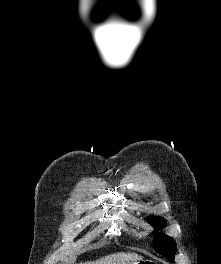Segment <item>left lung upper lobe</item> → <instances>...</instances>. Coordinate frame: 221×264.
I'll list each match as a JSON object with an SVG mask.
<instances>
[{
  "instance_id": "left-lung-upper-lobe-1",
  "label": "left lung upper lobe",
  "mask_w": 221,
  "mask_h": 264,
  "mask_svg": "<svg viewBox=\"0 0 221 264\" xmlns=\"http://www.w3.org/2000/svg\"><path fill=\"white\" fill-rule=\"evenodd\" d=\"M149 223L156 229H160L166 224V221L162 217H149ZM154 247L157 252L166 255L171 260L174 259L176 242L173 238L161 232H156L154 235Z\"/></svg>"
}]
</instances>
